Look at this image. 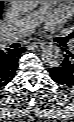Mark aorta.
<instances>
[{
	"mask_svg": "<svg viewBox=\"0 0 74 122\" xmlns=\"http://www.w3.org/2000/svg\"><path fill=\"white\" fill-rule=\"evenodd\" d=\"M13 3L19 11H31L40 4V1H13ZM41 58L47 66L58 67L64 60V55L58 46L48 45L42 50Z\"/></svg>",
	"mask_w": 74,
	"mask_h": 122,
	"instance_id": "762f6f07",
	"label": "aorta"
}]
</instances>
